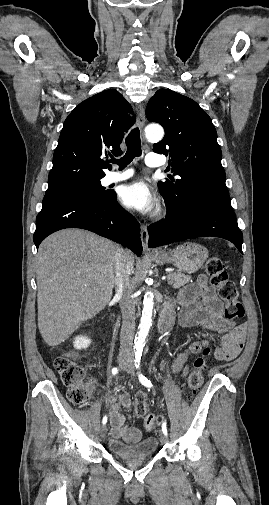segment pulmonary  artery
Segmentation results:
<instances>
[{"label":"pulmonary artery","mask_w":269,"mask_h":505,"mask_svg":"<svg viewBox=\"0 0 269 505\" xmlns=\"http://www.w3.org/2000/svg\"><path fill=\"white\" fill-rule=\"evenodd\" d=\"M146 164L150 167H158L163 166L165 164V161L159 155L150 153L146 156ZM132 175H133L132 170L110 172L106 177V182L108 184L121 182L130 178Z\"/></svg>","instance_id":"obj_1"}]
</instances>
